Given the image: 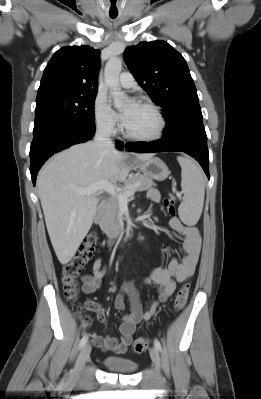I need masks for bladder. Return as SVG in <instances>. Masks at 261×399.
Listing matches in <instances>:
<instances>
[{
  "label": "bladder",
  "instance_id": "obj_1",
  "mask_svg": "<svg viewBox=\"0 0 261 399\" xmlns=\"http://www.w3.org/2000/svg\"><path fill=\"white\" fill-rule=\"evenodd\" d=\"M101 363L107 370L120 374H131L138 368L135 361L112 356L102 358Z\"/></svg>",
  "mask_w": 261,
  "mask_h": 399
}]
</instances>
